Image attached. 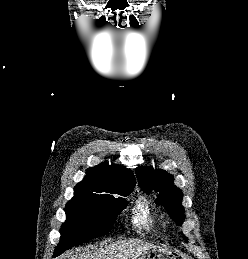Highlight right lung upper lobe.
<instances>
[{"label": "right lung upper lobe", "mask_w": 248, "mask_h": 259, "mask_svg": "<svg viewBox=\"0 0 248 259\" xmlns=\"http://www.w3.org/2000/svg\"><path fill=\"white\" fill-rule=\"evenodd\" d=\"M135 177L123 166L101 163L86 171L84 179L78 183L75 192L115 194L133 190Z\"/></svg>", "instance_id": "1"}]
</instances>
